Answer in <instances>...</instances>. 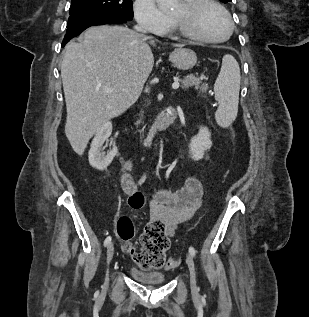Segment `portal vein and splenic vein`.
<instances>
[{
	"instance_id": "obj_1",
	"label": "portal vein and splenic vein",
	"mask_w": 309,
	"mask_h": 317,
	"mask_svg": "<svg viewBox=\"0 0 309 317\" xmlns=\"http://www.w3.org/2000/svg\"><path fill=\"white\" fill-rule=\"evenodd\" d=\"M179 86H180V84H179L178 80H175V81L173 82V84H172V88H173L174 90L178 89ZM112 90H113L112 88H107V89H106V92H111Z\"/></svg>"
}]
</instances>
